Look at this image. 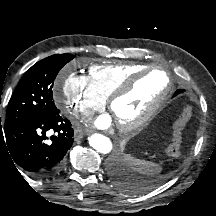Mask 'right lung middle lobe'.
Here are the masks:
<instances>
[{
	"instance_id": "1",
	"label": "right lung middle lobe",
	"mask_w": 216,
	"mask_h": 216,
	"mask_svg": "<svg viewBox=\"0 0 216 216\" xmlns=\"http://www.w3.org/2000/svg\"><path fill=\"white\" fill-rule=\"evenodd\" d=\"M73 58L74 55L71 54H56L29 68L9 101L4 125L37 116L59 114L53 100L52 88L58 72Z\"/></svg>"
}]
</instances>
